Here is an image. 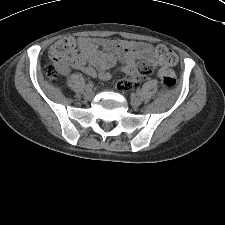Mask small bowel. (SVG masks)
Masks as SVG:
<instances>
[{"mask_svg": "<svg viewBox=\"0 0 225 225\" xmlns=\"http://www.w3.org/2000/svg\"><path fill=\"white\" fill-rule=\"evenodd\" d=\"M77 59L74 64L60 65L62 73H68L71 68L79 69L85 74L98 77L101 80H110L114 71L111 70L120 63V71L131 75L135 72L139 62L138 56L147 57V62L155 61V51L151 47L135 48L125 42L95 41L88 38H78ZM102 45L104 49H99Z\"/></svg>", "mask_w": 225, "mask_h": 225, "instance_id": "c3829d8e", "label": "small bowel"}]
</instances>
